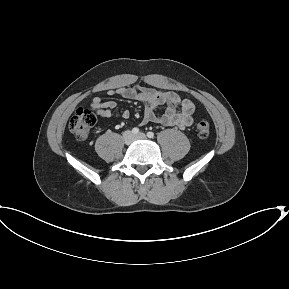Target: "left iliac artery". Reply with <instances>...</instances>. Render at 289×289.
Returning a JSON list of instances; mask_svg holds the SVG:
<instances>
[{
	"label": "left iliac artery",
	"mask_w": 289,
	"mask_h": 289,
	"mask_svg": "<svg viewBox=\"0 0 289 289\" xmlns=\"http://www.w3.org/2000/svg\"><path fill=\"white\" fill-rule=\"evenodd\" d=\"M147 137L153 138L154 137V133L153 132H147Z\"/></svg>",
	"instance_id": "left-iliac-artery-1"
}]
</instances>
